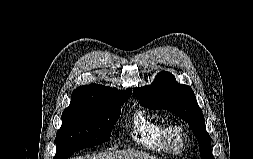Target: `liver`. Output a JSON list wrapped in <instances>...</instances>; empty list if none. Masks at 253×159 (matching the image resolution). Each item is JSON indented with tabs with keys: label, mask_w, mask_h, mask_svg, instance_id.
I'll use <instances>...</instances> for the list:
<instances>
[{
	"label": "liver",
	"mask_w": 253,
	"mask_h": 159,
	"mask_svg": "<svg viewBox=\"0 0 253 159\" xmlns=\"http://www.w3.org/2000/svg\"><path fill=\"white\" fill-rule=\"evenodd\" d=\"M72 159H155V158L143 152L128 149L115 152H105L93 156L89 155L84 157L80 156Z\"/></svg>",
	"instance_id": "1"
}]
</instances>
